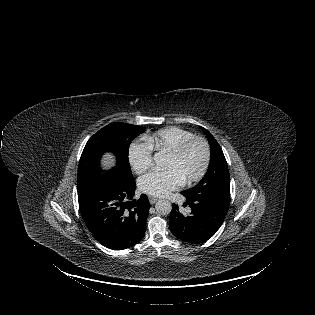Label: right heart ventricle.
<instances>
[{
  "label": "right heart ventricle",
  "instance_id": "obj_1",
  "mask_svg": "<svg viewBox=\"0 0 315 315\" xmlns=\"http://www.w3.org/2000/svg\"><path fill=\"white\" fill-rule=\"evenodd\" d=\"M193 136L189 130L179 126H168L148 136V141L157 150H171L183 140Z\"/></svg>",
  "mask_w": 315,
  "mask_h": 315
}]
</instances>
